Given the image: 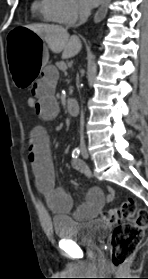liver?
Returning <instances> with one entry per match:
<instances>
[{"label":"liver","mask_w":148,"mask_h":279,"mask_svg":"<svg viewBox=\"0 0 148 279\" xmlns=\"http://www.w3.org/2000/svg\"><path fill=\"white\" fill-rule=\"evenodd\" d=\"M25 27L41 37L53 53L62 52L63 59L74 57L82 48L80 39L75 35L70 37L67 29L62 26L33 24Z\"/></svg>","instance_id":"obj_1"}]
</instances>
